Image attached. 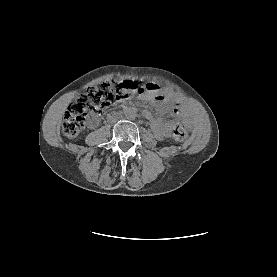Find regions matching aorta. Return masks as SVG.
Segmentation results:
<instances>
[{"instance_id": "762f6f07", "label": "aorta", "mask_w": 277, "mask_h": 277, "mask_svg": "<svg viewBox=\"0 0 277 277\" xmlns=\"http://www.w3.org/2000/svg\"><path fill=\"white\" fill-rule=\"evenodd\" d=\"M124 115L128 120H134L137 116V112L134 108L129 107V108L125 109Z\"/></svg>"}]
</instances>
